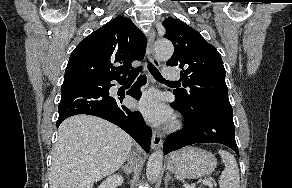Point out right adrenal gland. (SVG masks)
<instances>
[{"label":"right adrenal gland","instance_id":"obj_1","mask_svg":"<svg viewBox=\"0 0 292 188\" xmlns=\"http://www.w3.org/2000/svg\"><path fill=\"white\" fill-rule=\"evenodd\" d=\"M121 169H122L127 175L130 174L131 171H132L130 168H128V167H126V166H122Z\"/></svg>","mask_w":292,"mask_h":188}]
</instances>
